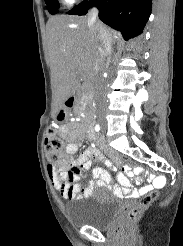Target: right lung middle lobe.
I'll use <instances>...</instances> for the list:
<instances>
[{"label": "right lung middle lobe", "mask_w": 183, "mask_h": 246, "mask_svg": "<svg viewBox=\"0 0 183 246\" xmlns=\"http://www.w3.org/2000/svg\"><path fill=\"white\" fill-rule=\"evenodd\" d=\"M45 3L47 4L48 11L51 14H55L58 12L59 9V3L57 0H45Z\"/></svg>", "instance_id": "1"}]
</instances>
